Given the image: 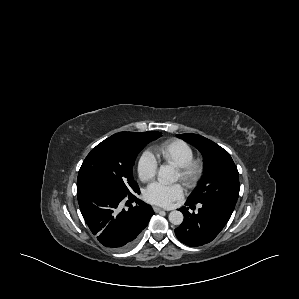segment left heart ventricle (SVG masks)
<instances>
[{
    "instance_id": "1",
    "label": "left heart ventricle",
    "mask_w": 299,
    "mask_h": 299,
    "mask_svg": "<svg viewBox=\"0 0 299 299\" xmlns=\"http://www.w3.org/2000/svg\"><path fill=\"white\" fill-rule=\"evenodd\" d=\"M177 178H179V174L177 173Z\"/></svg>"
}]
</instances>
